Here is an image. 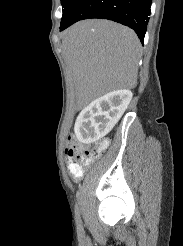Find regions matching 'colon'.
<instances>
[{
	"label": "colon",
	"instance_id": "colon-1",
	"mask_svg": "<svg viewBox=\"0 0 183 246\" xmlns=\"http://www.w3.org/2000/svg\"><path fill=\"white\" fill-rule=\"evenodd\" d=\"M107 145L108 142L106 140H102L86 147H81L69 137L66 152L68 157V166L72 174L79 177L82 173L83 166L99 158L105 151Z\"/></svg>",
	"mask_w": 183,
	"mask_h": 246
}]
</instances>
